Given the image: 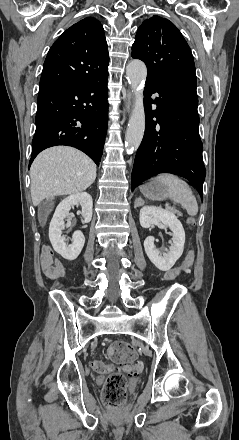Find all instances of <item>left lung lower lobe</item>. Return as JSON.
Wrapping results in <instances>:
<instances>
[{"mask_svg": "<svg viewBox=\"0 0 239 440\" xmlns=\"http://www.w3.org/2000/svg\"><path fill=\"white\" fill-rule=\"evenodd\" d=\"M196 81L147 78L144 90L146 127L136 153L131 188L159 173L185 177L203 198L206 171L199 137ZM159 96L152 100L151 95ZM152 104L156 109L152 110Z\"/></svg>", "mask_w": 239, "mask_h": 440, "instance_id": "obj_1", "label": "left lung lower lobe"}]
</instances>
